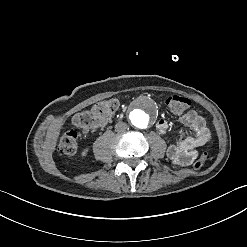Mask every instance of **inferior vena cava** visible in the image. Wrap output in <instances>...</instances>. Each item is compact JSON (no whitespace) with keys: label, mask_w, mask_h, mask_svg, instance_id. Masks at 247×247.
I'll use <instances>...</instances> for the list:
<instances>
[{"label":"inferior vena cava","mask_w":247,"mask_h":247,"mask_svg":"<svg viewBox=\"0 0 247 247\" xmlns=\"http://www.w3.org/2000/svg\"><path fill=\"white\" fill-rule=\"evenodd\" d=\"M127 128V124L124 123V122H118L116 125H115V131L116 132H124Z\"/></svg>","instance_id":"obj_1"}]
</instances>
